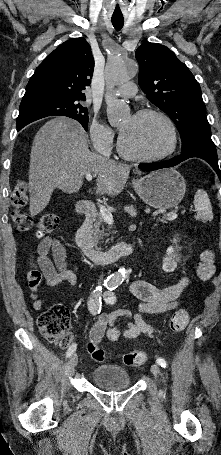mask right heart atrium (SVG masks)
<instances>
[{"label": "right heart atrium", "instance_id": "d8ad5b80", "mask_svg": "<svg viewBox=\"0 0 221 455\" xmlns=\"http://www.w3.org/2000/svg\"><path fill=\"white\" fill-rule=\"evenodd\" d=\"M89 132L94 151L101 155L110 154L114 142V132L97 119L92 120Z\"/></svg>", "mask_w": 221, "mask_h": 455}]
</instances>
